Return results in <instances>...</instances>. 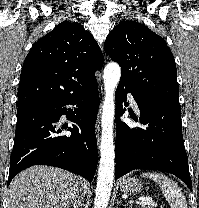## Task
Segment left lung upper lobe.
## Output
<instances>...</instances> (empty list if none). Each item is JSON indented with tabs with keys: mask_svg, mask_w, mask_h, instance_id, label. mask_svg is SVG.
<instances>
[{
	"mask_svg": "<svg viewBox=\"0 0 199 208\" xmlns=\"http://www.w3.org/2000/svg\"><path fill=\"white\" fill-rule=\"evenodd\" d=\"M104 49L121 66L120 83L151 100L180 106L173 54L164 39L147 26L119 22L106 38Z\"/></svg>",
	"mask_w": 199,
	"mask_h": 208,
	"instance_id": "5c2ea615",
	"label": "left lung upper lobe"
}]
</instances>
